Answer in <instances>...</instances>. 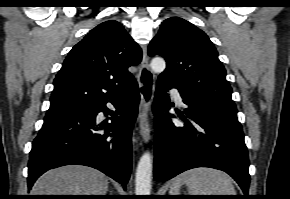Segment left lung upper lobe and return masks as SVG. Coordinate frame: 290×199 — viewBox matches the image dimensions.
Instances as JSON below:
<instances>
[{"label": "left lung upper lobe", "instance_id": "obj_1", "mask_svg": "<svg viewBox=\"0 0 290 199\" xmlns=\"http://www.w3.org/2000/svg\"><path fill=\"white\" fill-rule=\"evenodd\" d=\"M149 56L165 58L159 78L179 91L235 106L226 71L208 36L188 21L166 19L148 47Z\"/></svg>", "mask_w": 290, "mask_h": 199}]
</instances>
